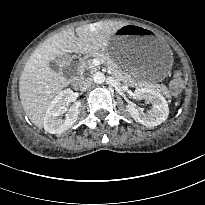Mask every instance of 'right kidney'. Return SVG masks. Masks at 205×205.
Returning <instances> with one entry per match:
<instances>
[{"instance_id": "obj_1", "label": "right kidney", "mask_w": 205, "mask_h": 205, "mask_svg": "<svg viewBox=\"0 0 205 205\" xmlns=\"http://www.w3.org/2000/svg\"><path fill=\"white\" fill-rule=\"evenodd\" d=\"M72 97L73 91L65 89L59 92L52 100L44 116L43 126L46 132L61 134L71 128L76 122L79 114L78 106L67 107ZM63 113H66L65 118H59Z\"/></svg>"}]
</instances>
